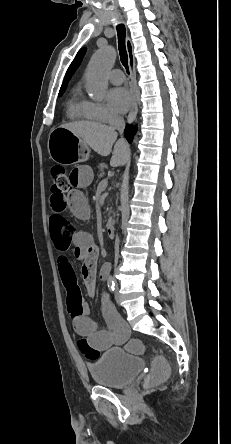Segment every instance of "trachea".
<instances>
[{
    "label": "trachea",
    "mask_w": 231,
    "mask_h": 444,
    "mask_svg": "<svg viewBox=\"0 0 231 444\" xmlns=\"http://www.w3.org/2000/svg\"><path fill=\"white\" fill-rule=\"evenodd\" d=\"M117 34H118V48H119L120 59L127 73L129 74L128 54L126 50V41H125L126 29L123 24L117 26Z\"/></svg>",
    "instance_id": "trachea-1"
}]
</instances>
